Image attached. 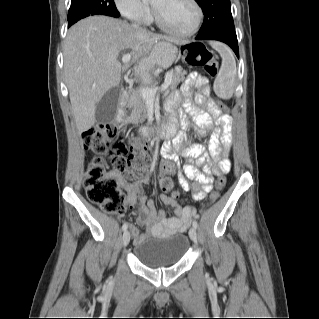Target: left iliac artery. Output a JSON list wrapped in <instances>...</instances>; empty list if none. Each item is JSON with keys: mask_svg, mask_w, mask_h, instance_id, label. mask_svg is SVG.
I'll return each instance as SVG.
<instances>
[{"mask_svg": "<svg viewBox=\"0 0 319 319\" xmlns=\"http://www.w3.org/2000/svg\"><path fill=\"white\" fill-rule=\"evenodd\" d=\"M193 227L196 229L198 227V223L196 221H193Z\"/></svg>", "mask_w": 319, "mask_h": 319, "instance_id": "obj_1", "label": "left iliac artery"}]
</instances>
